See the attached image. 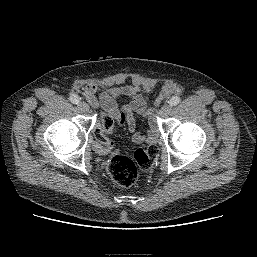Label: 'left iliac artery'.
<instances>
[{"label": "left iliac artery", "mask_w": 257, "mask_h": 257, "mask_svg": "<svg viewBox=\"0 0 257 257\" xmlns=\"http://www.w3.org/2000/svg\"><path fill=\"white\" fill-rule=\"evenodd\" d=\"M181 101V98L179 96H173L171 99H170V105L171 106H176L180 103Z\"/></svg>", "instance_id": "1"}]
</instances>
